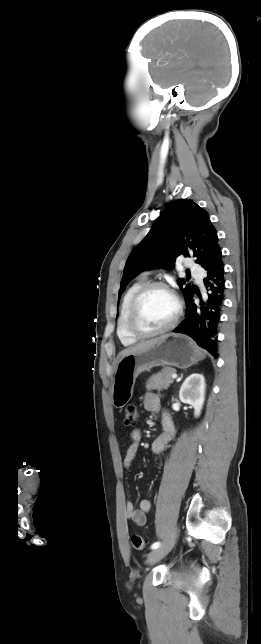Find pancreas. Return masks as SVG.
Listing matches in <instances>:
<instances>
[{
  "label": "pancreas",
  "instance_id": "obj_1",
  "mask_svg": "<svg viewBox=\"0 0 261 644\" xmlns=\"http://www.w3.org/2000/svg\"><path fill=\"white\" fill-rule=\"evenodd\" d=\"M174 373H176V370L173 368H169V367L163 368L160 372L152 375L148 379L146 383V389L148 391H151V390L161 391L163 389H167L170 386V384L173 383L172 375Z\"/></svg>",
  "mask_w": 261,
  "mask_h": 644
}]
</instances>
